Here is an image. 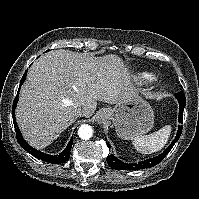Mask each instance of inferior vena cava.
Returning a JSON list of instances; mask_svg holds the SVG:
<instances>
[{
    "label": "inferior vena cava",
    "instance_id": "obj_1",
    "mask_svg": "<svg viewBox=\"0 0 199 199\" xmlns=\"http://www.w3.org/2000/svg\"><path fill=\"white\" fill-rule=\"evenodd\" d=\"M85 112H86V109L84 107H78L77 108V114L79 116H83L85 114Z\"/></svg>",
    "mask_w": 199,
    "mask_h": 199
}]
</instances>
